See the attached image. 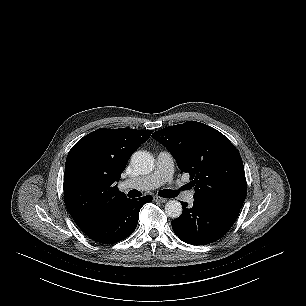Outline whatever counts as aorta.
<instances>
[{
  "mask_svg": "<svg viewBox=\"0 0 306 306\" xmlns=\"http://www.w3.org/2000/svg\"><path fill=\"white\" fill-rule=\"evenodd\" d=\"M131 165L139 174H149L154 168V159L146 151H137L131 157ZM165 213L170 218H178L182 214V205L176 200H170L165 205Z\"/></svg>",
  "mask_w": 306,
  "mask_h": 306,
  "instance_id": "obj_1",
  "label": "aorta"
}]
</instances>
